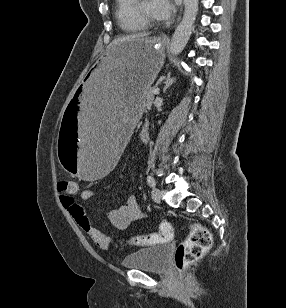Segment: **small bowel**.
I'll return each mask as SVG.
<instances>
[{
    "instance_id": "small-bowel-1",
    "label": "small bowel",
    "mask_w": 286,
    "mask_h": 308,
    "mask_svg": "<svg viewBox=\"0 0 286 308\" xmlns=\"http://www.w3.org/2000/svg\"><path fill=\"white\" fill-rule=\"evenodd\" d=\"M93 195V190L84 189L80 192L79 197L81 200L86 201L92 198ZM61 201L63 206L69 210L76 223L95 245L101 249H109L113 245L110 235L93 226L84 208L77 203L74 198L62 197ZM141 216L142 213L137 198L131 195L123 205L108 213V220L114 227L126 230L132 222L139 219Z\"/></svg>"
}]
</instances>
